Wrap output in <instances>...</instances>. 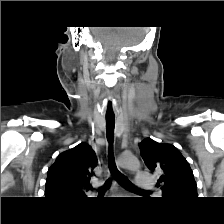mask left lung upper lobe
<instances>
[{"instance_id": "left-lung-upper-lobe-1", "label": "left lung upper lobe", "mask_w": 224, "mask_h": 224, "mask_svg": "<svg viewBox=\"0 0 224 224\" xmlns=\"http://www.w3.org/2000/svg\"><path fill=\"white\" fill-rule=\"evenodd\" d=\"M141 156L151 171H159L157 185L167 199L197 198V185L187 160L171 144H161L151 138L139 143Z\"/></svg>"}]
</instances>
